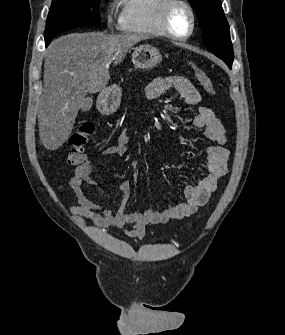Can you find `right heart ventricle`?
Listing matches in <instances>:
<instances>
[{
    "label": "right heart ventricle",
    "mask_w": 285,
    "mask_h": 335,
    "mask_svg": "<svg viewBox=\"0 0 285 335\" xmlns=\"http://www.w3.org/2000/svg\"><path fill=\"white\" fill-rule=\"evenodd\" d=\"M168 1H132L134 15L129 21L134 32L141 39H166L162 24V12Z\"/></svg>",
    "instance_id": "right-heart-ventricle-1"
}]
</instances>
